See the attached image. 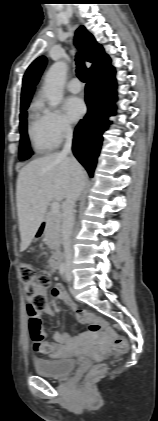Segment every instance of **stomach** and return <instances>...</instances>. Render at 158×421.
<instances>
[{"instance_id": "1", "label": "stomach", "mask_w": 158, "mask_h": 421, "mask_svg": "<svg viewBox=\"0 0 158 421\" xmlns=\"http://www.w3.org/2000/svg\"><path fill=\"white\" fill-rule=\"evenodd\" d=\"M40 234H41V225L39 226V228H38V230H37V232H36L35 236H36V237H39V236H40Z\"/></svg>"}]
</instances>
